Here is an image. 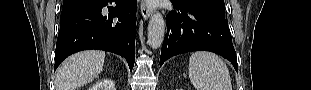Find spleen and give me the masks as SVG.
Masks as SVG:
<instances>
[{"label":"spleen","instance_id":"obj_1","mask_svg":"<svg viewBox=\"0 0 311 90\" xmlns=\"http://www.w3.org/2000/svg\"><path fill=\"white\" fill-rule=\"evenodd\" d=\"M189 78L196 90H232L226 64L211 52L198 51L191 55Z\"/></svg>","mask_w":311,"mask_h":90}]
</instances>
